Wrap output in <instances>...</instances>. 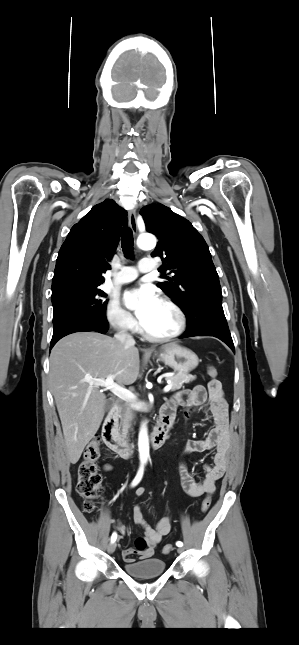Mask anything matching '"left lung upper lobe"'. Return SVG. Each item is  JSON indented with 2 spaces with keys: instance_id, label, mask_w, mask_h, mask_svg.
Returning a JSON list of instances; mask_svg holds the SVG:
<instances>
[{
  "instance_id": "5c2ea615",
  "label": "left lung upper lobe",
  "mask_w": 299,
  "mask_h": 645,
  "mask_svg": "<svg viewBox=\"0 0 299 645\" xmlns=\"http://www.w3.org/2000/svg\"><path fill=\"white\" fill-rule=\"evenodd\" d=\"M146 230L159 243L152 256L163 261L161 272L174 273L159 282L158 287L174 298L184 312L189 330H199L206 318L205 309L222 301L221 287L208 246L192 224L160 203L141 209Z\"/></svg>"
}]
</instances>
